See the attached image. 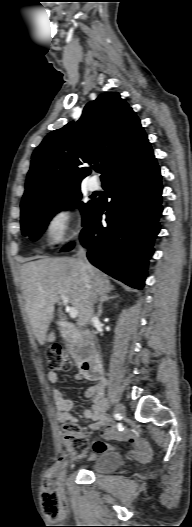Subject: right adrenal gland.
<instances>
[{
  "mask_svg": "<svg viewBox=\"0 0 192 527\" xmlns=\"http://www.w3.org/2000/svg\"><path fill=\"white\" fill-rule=\"evenodd\" d=\"M118 297H119L118 295H114V296H109L108 294L101 295V297L99 299L100 303H99V306H98V316H101V314H102V306H103L104 302L116 299Z\"/></svg>",
  "mask_w": 192,
  "mask_h": 527,
  "instance_id": "obj_1",
  "label": "right adrenal gland"
}]
</instances>
